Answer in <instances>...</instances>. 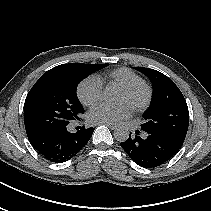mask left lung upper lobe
Instances as JSON below:
<instances>
[{
	"mask_svg": "<svg viewBox=\"0 0 211 211\" xmlns=\"http://www.w3.org/2000/svg\"><path fill=\"white\" fill-rule=\"evenodd\" d=\"M153 83V96L149 108L143 113V131L154 133L181 147L188 130L189 111L186 100L175 83L163 73L134 67Z\"/></svg>",
	"mask_w": 211,
	"mask_h": 211,
	"instance_id": "obj_1",
	"label": "left lung upper lobe"
}]
</instances>
